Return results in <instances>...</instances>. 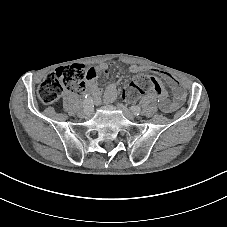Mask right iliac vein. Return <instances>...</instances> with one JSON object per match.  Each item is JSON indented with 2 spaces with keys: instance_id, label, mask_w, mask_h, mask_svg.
Returning <instances> with one entry per match:
<instances>
[{
  "instance_id": "1",
  "label": "right iliac vein",
  "mask_w": 227,
  "mask_h": 227,
  "mask_svg": "<svg viewBox=\"0 0 227 227\" xmlns=\"http://www.w3.org/2000/svg\"><path fill=\"white\" fill-rule=\"evenodd\" d=\"M78 115H79L80 117H88V116H89V113L86 112V111L81 110V111L78 113Z\"/></svg>"
}]
</instances>
